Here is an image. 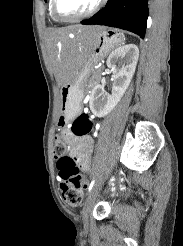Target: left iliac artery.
Instances as JSON below:
<instances>
[{
	"instance_id": "44dca946",
	"label": "left iliac artery",
	"mask_w": 183,
	"mask_h": 246,
	"mask_svg": "<svg viewBox=\"0 0 183 246\" xmlns=\"http://www.w3.org/2000/svg\"><path fill=\"white\" fill-rule=\"evenodd\" d=\"M94 183H95V179H93V180L91 181V183L89 184L88 191H91V189H92L93 186H94Z\"/></svg>"
}]
</instances>
